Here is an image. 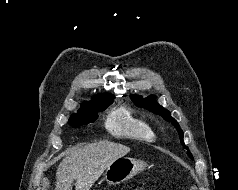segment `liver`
<instances>
[{"mask_svg": "<svg viewBox=\"0 0 238 190\" xmlns=\"http://www.w3.org/2000/svg\"><path fill=\"white\" fill-rule=\"evenodd\" d=\"M130 152V148L115 142L103 140L66 152L56 171L55 190H89L103 172L117 159Z\"/></svg>", "mask_w": 238, "mask_h": 190, "instance_id": "6515ba94", "label": "liver"}]
</instances>
